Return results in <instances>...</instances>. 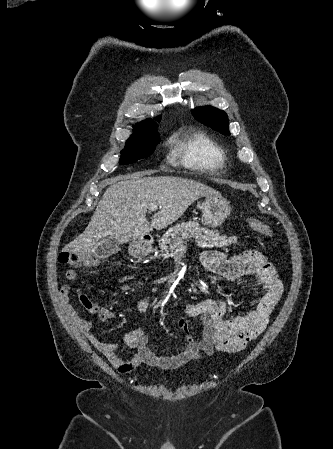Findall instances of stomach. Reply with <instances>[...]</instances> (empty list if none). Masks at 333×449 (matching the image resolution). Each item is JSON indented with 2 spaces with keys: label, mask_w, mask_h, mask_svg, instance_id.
Segmentation results:
<instances>
[{
  "label": "stomach",
  "mask_w": 333,
  "mask_h": 449,
  "mask_svg": "<svg viewBox=\"0 0 333 449\" xmlns=\"http://www.w3.org/2000/svg\"><path fill=\"white\" fill-rule=\"evenodd\" d=\"M230 203L221 195L209 196L202 203V222L205 226L216 228L222 225L231 213ZM151 246L143 240L134 242L130 247V253L134 257L147 255Z\"/></svg>",
  "instance_id": "0dacf381"
}]
</instances>
